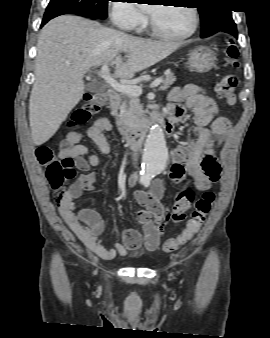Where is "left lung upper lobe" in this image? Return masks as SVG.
Wrapping results in <instances>:
<instances>
[{
    "mask_svg": "<svg viewBox=\"0 0 270 338\" xmlns=\"http://www.w3.org/2000/svg\"><path fill=\"white\" fill-rule=\"evenodd\" d=\"M228 0H199V13L202 24L201 37H208L224 27L233 24L231 11L227 8Z\"/></svg>",
    "mask_w": 270,
    "mask_h": 338,
    "instance_id": "obj_1",
    "label": "left lung upper lobe"
}]
</instances>
